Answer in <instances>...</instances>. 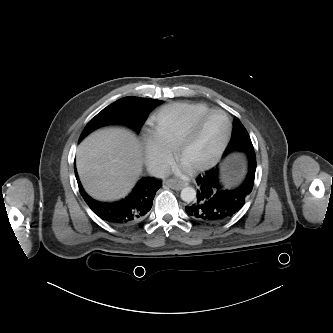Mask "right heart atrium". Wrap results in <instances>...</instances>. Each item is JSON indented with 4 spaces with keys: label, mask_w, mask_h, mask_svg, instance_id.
I'll return each mask as SVG.
<instances>
[{
    "label": "right heart atrium",
    "mask_w": 333,
    "mask_h": 333,
    "mask_svg": "<svg viewBox=\"0 0 333 333\" xmlns=\"http://www.w3.org/2000/svg\"><path fill=\"white\" fill-rule=\"evenodd\" d=\"M144 155L149 169L155 175H162L172 162V151L154 133L144 139Z\"/></svg>",
    "instance_id": "right-heart-atrium-1"
}]
</instances>
